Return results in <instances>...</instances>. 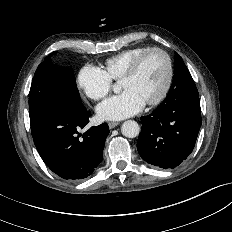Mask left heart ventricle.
I'll list each match as a JSON object with an SVG mask.
<instances>
[{"label": "left heart ventricle", "mask_w": 232, "mask_h": 232, "mask_svg": "<svg viewBox=\"0 0 232 232\" xmlns=\"http://www.w3.org/2000/svg\"><path fill=\"white\" fill-rule=\"evenodd\" d=\"M166 76L165 57L161 53H152L144 59L132 78L120 82V88L132 91L146 103L161 92Z\"/></svg>", "instance_id": "obj_1"}]
</instances>
